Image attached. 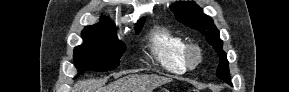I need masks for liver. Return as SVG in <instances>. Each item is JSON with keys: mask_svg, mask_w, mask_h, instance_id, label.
Masks as SVG:
<instances>
[{"mask_svg": "<svg viewBox=\"0 0 289 92\" xmlns=\"http://www.w3.org/2000/svg\"><path fill=\"white\" fill-rule=\"evenodd\" d=\"M172 79L159 75H130L105 86L98 87L93 83H87L86 87L77 88L82 92H152L160 85L171 82ZM86 90V91H84ZM97 90V91H95Z\"/></svg>", "mask_w": 289, "mask_h": 92, "instance_id": "obj_1", "label": "liver"}]
</instances>
